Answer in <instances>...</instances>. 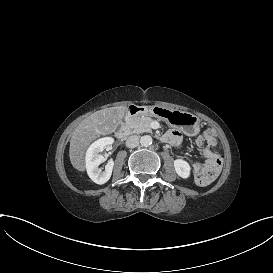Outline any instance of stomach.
Segmentation results:
<instances>
[{
  "mask_svg": "<svg viewBox=\"0 0 273 273\" xmlns=\"http://www.w3.org/2000/svg\"><path fill=\"white\" fill-rule=\"evenodd\" d=\"M145 115L165 121L170 127L180 130L187 137L200 133V118L190 112L169 109L160 105L145 106Z\"/></svg>",
  "mask_w": 273,
  "mask_h": 273,
  "instance_id": "0dacf381",
  "label": "stomach"
}]
</instances>
